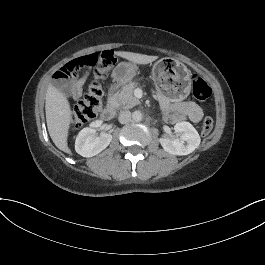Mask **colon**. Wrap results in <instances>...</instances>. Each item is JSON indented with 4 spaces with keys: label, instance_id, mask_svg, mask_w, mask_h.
<instances>
[{
    "label": "colon",
    "instance_id": "1",
    "mask_svg": "<svg viewBox=\"0 0 265 265\" xmlns=\"http://www.w3.org/2000/svg\"><path fill=\"white\" fill-rule=\"evenodd\" d=\"M116 59L113 51H103L76 58L57 70L54 74L56 79H66L82 69H92L95 76L83 98L72 109V119L76 127L94 119L100 112L103 104V89L98 80L103 79L115 64ZM192 93L199 101L207 100L212 91L208 83L198 74L192 76ZM214 121L206 117L201 126L203 135L211 133Z\"/></svg>",
    "mask_w": 265,
    "mask_h": 265
}]
</instances>
